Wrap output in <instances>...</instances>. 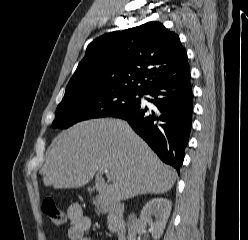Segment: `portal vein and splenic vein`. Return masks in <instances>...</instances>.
I'll use <instances>...</instances> for the list:
<instances>
[{
    "mask_svg": "<svg viewBox=\"0 0 248 240\" xmlns=\"http://www.w3.org/2000/svg\"><path fill=\"white\" fill-rule=\"evenodd\" d=\"M104 173H105L106 175H109V171H108V170H104Z\"/></svg>",
    "mask_w": 248,
    "mask_h": 240,
    "instance_id": "obj_1",
    "label": "portal vein and splenic vein"
}]
</instances>
